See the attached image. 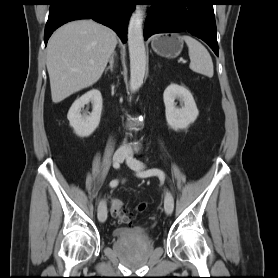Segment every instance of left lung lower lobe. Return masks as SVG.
Segmentation results:
<instances>
[{
  "mask_svg": "<svg viewBox=\"0 0 278 278\" xmlns=\"http://www.w3.org/2000/svg\"><path fill=\"white\" fill-rule=\"evenodd\" d=\"M215 0H155L144 26V38L156 33L188 31L205 41L218 56Z\"/></svg>",
  "mask_w": 278,
  "mask_h": 278,
  "instance_id": "0a47b994",
  "label": "left lung lower lobe"
}]
</instances>
